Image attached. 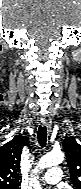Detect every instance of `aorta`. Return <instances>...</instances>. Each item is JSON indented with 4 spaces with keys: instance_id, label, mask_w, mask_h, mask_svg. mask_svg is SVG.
Listing matches in <instances>:
<instances>
[{
    "instance_id": "aorta-1",
    "label": "aorta",
    "mask_w": 81,
    "mask_h": 189,
    "mask_svg": "<svg viewBox=\"0 0 81 189\" xmlns=\"http://www.w3.org/2000/svg\"><path fill=\"white\" fill-rule=\"evenodd\" d=\"M64 160V154L61 151H52L48 154L44 155L38 165L34 170V173H37L39 169H44L47 167L55 166L62 163ZM34 189H42L39 182L37 181V177L32 179Z\"/></svg>"
}]
</instances>
